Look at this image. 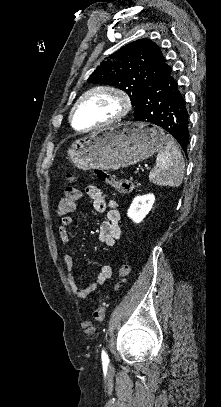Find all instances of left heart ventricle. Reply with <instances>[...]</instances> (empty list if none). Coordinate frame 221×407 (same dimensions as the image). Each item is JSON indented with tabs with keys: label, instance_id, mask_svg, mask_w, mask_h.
<instances>
[{
	"label": "left heart ventricle",
	"instance_id": "left-heart-ventricle-1",
	"mask_svg": "<svg viewBox=\"0 0 221 407\" xmlns=\"http://www.w3.org/2000/svg\"><path fill=\"white\" fill-rule=\"evenodd\" d=\"M118 110V99L114 95L108 93L94 94L76 109L74 125L77 129L88 128L111 118Z\"/></svg>",
	"mask_w": 221,
	"mask_h": 407
}]
</instances>
